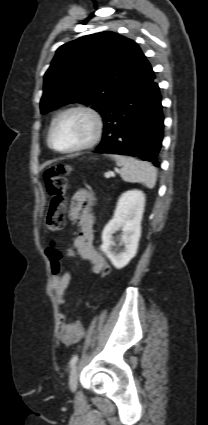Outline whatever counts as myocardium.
I'll list each match as a JSON object with an SVG mask.
<instances>
[{
    "label": "myocardium",
    "instance_id": "obj_1",
    "mask_svg": "<svg viewBox=\"0 0 208 425\" xmlns=\"http://www.w3.org/2000/svg\"><path fill=\"white\" fill-rule=\"evenodd\" d=\"M71 113H82V114L89 116L91 118V120L93 121V126H94L93 133H92V136L90 137V139L88 141H86L85 143H83L79 146L68 148V149H59V148L55 147V145L53 144L54 130H55L57 124L60 122V120L62 118H64L66 115L71 114ZM103 131H104V122H103L102 116L100 115V113L98 111H96L95 109H93L89 106L75 105V106H71V107H68V108L62 110L55 117V119L53 120V122L50 126V129H49L48 144L53 150H55L59 153H78V152L88 150V149L94 147L95 145H97L102 138Z\"/></svg>",
    "mask_w": 208,
    "mask_h": 425
}]
</instances>
